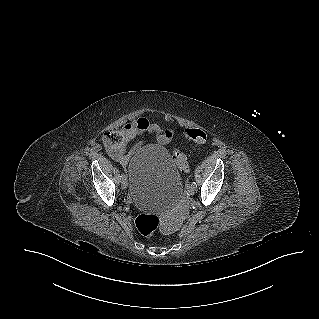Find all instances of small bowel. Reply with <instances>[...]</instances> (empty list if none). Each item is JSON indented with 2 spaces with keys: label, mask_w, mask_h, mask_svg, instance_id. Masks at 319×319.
<instances>
[{
  "label": "small bowel",
  "mask_w": 319,
  "mask_h": 319,
  "mask_svg": "<svg viewBox=\"0 0 319 319\" xmlns=\"http://www.w3.org/2000/svg\"><path fill=\"white\" fill-rule=\"evenodd\" d=\"M154 135L159 143L167 144L174 133L169 128L162 127L159 123L140 117L126 124L122 129L111 127L104 134V144L108 155L122 166H126L133 153L141 146L137 143L132 147L129 144L140 134Z\"/></svg>",
  "instance_id": "small-bowel-1"
}]
</instances>
